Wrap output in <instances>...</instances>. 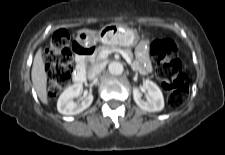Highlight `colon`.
<instances>
[{
    "instance_id": "5ec220e1",
    "label": "colon",
    "mask_w": 225,
    "mask_h": 155,
    "mask_svg": "<svg viewBox=\"0 0 225 155\" xmlns=\"http://www.w3.org/2000/svg\"><path fill=\"white\" fill-rule=\"evenodd\" d=\"M150 54L156 62V74L168 91V104L181 107L188 98L189 85L177 57L176 44L170 39L154 40ZM48 76V94L56 96L72 79V52L69 35L65 30L57 31L52 37L44 55Z\"/></svg>"
}]
</instances>
